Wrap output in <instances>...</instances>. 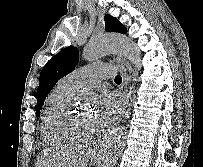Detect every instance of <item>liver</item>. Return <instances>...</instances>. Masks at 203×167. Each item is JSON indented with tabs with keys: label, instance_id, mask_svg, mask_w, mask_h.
<instances>
[{
	"label": "liver",
	"instance_id": "obj_1",
	"mask_svg": "<svg viewBox=\"0 0 203 167\" xmlns=\"http://www.w3.org/2000/svg\"><path fill=\"white\" fill-rule=\"evenodd\" d=\"M98 162L96 148L88 145H69L58 150H44L36 167H87L89 159Z\"/></svg>",
	"mask_w": 203,
	"mask_h": 167
}]
</instances>
